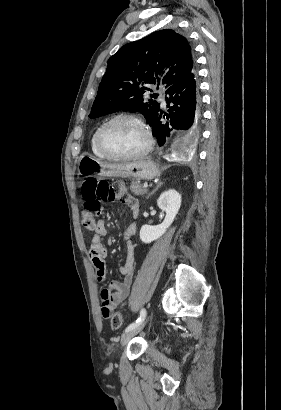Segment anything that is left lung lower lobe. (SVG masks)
I'll list each match as a JSON object with an SVG mask.
<instances>
[{
  "instance_id": "left-lung-lower-lobe-1",
  "label": "left lung lower lobe",
  "mask_w": 281,
  "mask_h": 410,
  "mask_svg": "<svg viewBox=\"0 0 281 410\" xmlns=\"http://www.w3.org/2000/svg\"><path fill=\"white\" fill-rule=\"evenodd\" d=\"M169 98H166L168 114H164L170 123L163 124L161 118L163 112L159 111L154 121L149 124L152 133L157 138L159 146H163L166 138L170 135L169 124L182 130L185 142H193L198 138V123L200 120V98L198 94L196 70L184 79L173 84L166 90Z\"/></svg>"
}]
</instances>
